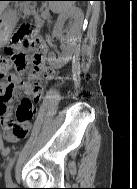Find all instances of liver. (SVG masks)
Returning a JSON list of instances; mask_svg holds the SVG:
<instances>
[{
	"mask_svg": "<svg viewBox=\"0 0 137 189\" xmlns=\"http://www.w3.org/2000/svg\"><path fill=\"white\" fill-rule=\"evenodd\" d=\"M8 2L7 1H0V15L4 11V9L7 7Z\"/></svg>",
	"mask_w": 137,
	"mask_h": 189,
	"instance_id": "1",
	"label": "liver"
}]
</instances>
